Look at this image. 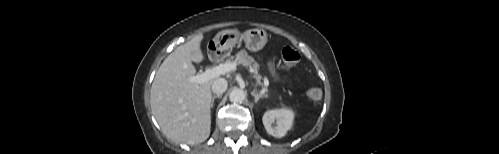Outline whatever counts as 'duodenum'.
<instances>
[{"instance_id": "obj_1", "label": "duodenum", "mask_w": 499, "mask_h": 154, "mask_svg": "<svg viewBox=\"0 0 499 154\" xmlns=\"http://www.w3.org/2000/svg\"><path fill=\"white\" fill-rule=\"evenodd\" d=\"M221 51H219L218 49H212V51L210 52V57L213 61H217L219 60V58L221 57Z\"/></svg>"}]
</instances>
